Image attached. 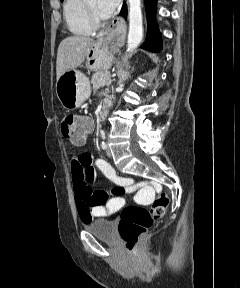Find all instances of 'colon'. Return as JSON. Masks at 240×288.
I'll list each match as a JSON object with an SVG mask.
<instances>
[{
    "label": "colon",
    "mask_w": 240,
    "mask_h": 288,
    "mask_svg": "<svg viewBox=\"0 0 240 288\" xmlns=\"http://www.w3.org/2000/svg\"><path fill=\"white\" fill-rule=\"evenodd\" d=\"M89 129L90 122L85 117L69 114L61 122L63 135L72 141L84 139ZM168 203V196L165 193H160L149 209L136 205L127 206L123 209L119 222V233L127 250L136 249L140 239L154 221L165 214Z\"/></svg>",
    "instance_id": "obj_1"
}]
</instances>
